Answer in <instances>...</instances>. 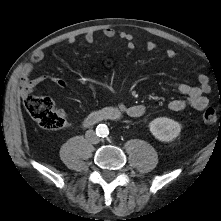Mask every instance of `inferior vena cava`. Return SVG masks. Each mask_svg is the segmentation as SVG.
Here are the masks:
<instances>
[{
	"label": "inferior vena cava",
	"mask_w": 221,
	"mask_h": 221,
	"mask_svg": "<svg viewBox=\"0 0 221 221\" xmlns=\"http://www.w3.org/2000/svg\"><path fill=\"white\" fill-rule=\"evenodd\" d=\"M85 137L92 144H98L100 142V138L96 135L95 131L93 130L86 131Z\"/></svg>",
	"instance_id": "1"
}]
</instances>
